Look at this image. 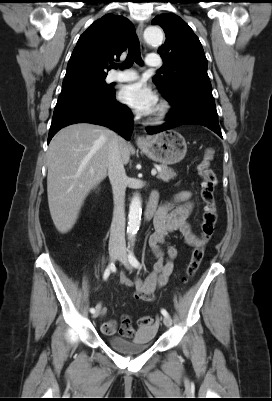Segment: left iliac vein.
Here are the masks:
<instances>
[{"label":"left iliac vein","mask_w":272,"mask_h":401,"mask_svg":"<svg viewBox=\"0 0 272 401\" xmlns=\"http://www.w3.org/2000/svg\"><path fill=\"white\" fill-rule=\"evenodd\" d=\"M117 258L127 269H131L124 245L120 247V252ZM163 323L166 327H170L172 325V319L169 316H164Z\"/></svg>","instance_id":"left-iliac-vein-1"}]
</instances>
